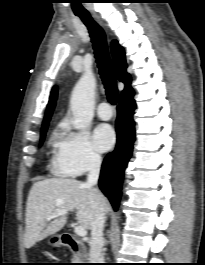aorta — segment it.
I'll list each match as a JSON object with an SVG mask.
<instances>
[{
  "label": "aorta",
  "mask_w": 205,
  "mask_h": 265,
  "mask_svg": "<svg viewBox=\"0 0 205 265\" xmlns=\"http://www.w3.org/2000/svg\"><path fill=\"white\" fill-rule=\"evenodd\" d=\"M96 79L91 71H85L74 87L70 99L73 113L72 124L75 129L83 130L90 125L94 115Z\"/></svg>",
  "instance_id": "1"
}]
</instances>
